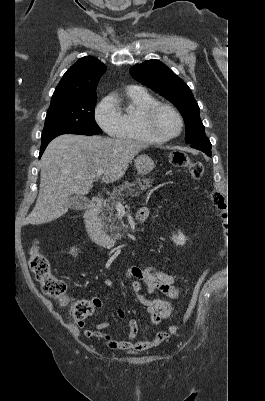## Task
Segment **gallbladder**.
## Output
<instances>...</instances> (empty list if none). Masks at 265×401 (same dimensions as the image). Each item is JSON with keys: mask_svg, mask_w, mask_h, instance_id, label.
<instances>
[{"mask_svg": "<svg viewBox=\"0 0 265 401\" xmlns=\"http://www.w3.org/2000/svg\"><path fill=\"white\" fill-rule=\"evenodd\" d=\"M70 198V209L73 211H85L90 203L87 196H70Z\"/></svg>", "mask_w": 265, "mask_h": 401, "instance_id": "1", "label": "gallbladder"}]
</instances>
